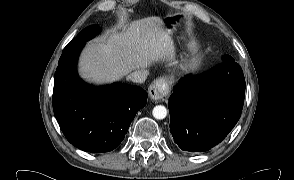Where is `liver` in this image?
<instances>
[{"mask_svg": "<svg viewBox=\"0 0 294 180\" xmlns=\"http://www.w3.org/2000/svg\"><path fill=\"white\" fill-rule=\"evenodd\" d=\"M173 52L162 18L152 16L133 21L122 32L112 30L106 39L89 43L81 55L79 70L89 82H113L155 62L171 61Z\"/></svg>", "mask_w": 294, "mask_h": 180, "instance_id": "liver-1", "label": "liver"}]
</instances>
